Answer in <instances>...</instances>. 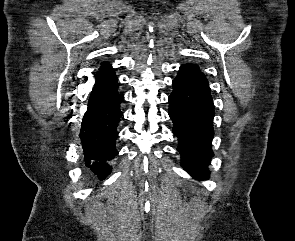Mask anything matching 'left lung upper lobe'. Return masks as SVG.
Masks as SVG:
<instances>
[{
    "mask_svg": "<svg viewBox=\"0 0 295 241\" xmlns=\"http://www.w3.org/2000/svg\"><path fill=\"white\" fill-rule=\"evenodd\" d=\"M186 77L193 84L198 85L201 89L209 91L208 82L205 78V75L201 73L199 67L193 64H183L180 67L179 74Z\"/></svg>",
    "mask_w": 295,
    "mask_h": 241,
    "instance_id": "5c2ea615",
    "label": "left lung upper lobe"
}]
</instances>
